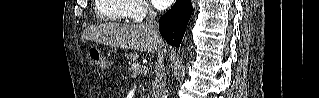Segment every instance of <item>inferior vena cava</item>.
Instances as JSON below:
<instances>
[{"label":"inferior vena cava","instance_id":"1","mask_svg":"<svg viewBox=\"0 0 319 98\" xmlns=\"http://www.w3.org/2000/svg\"><path fill=\"white\" fill-rule=\"evenodd\" d=\"M156 15V12L152 8H149L146 21L143 25L150 32L155 41L162 45L163 40L159 33V26L156 21ZM157 55L158 59L156 63L155 79L152 86V98H163L166 84V72L162 47L157 50Z\"/></svg>","mask_w":319,"mask_h":98}]
</instances>
